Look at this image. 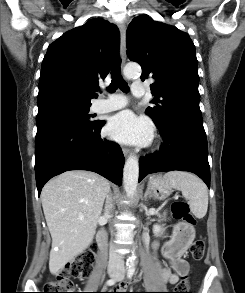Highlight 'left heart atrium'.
Listing matches in <instances>:
<instances>
[{
    "label": "left heart atrium",
    "mask_w": 245,
    "mask_h": 293,
    "mask_svg": "<svg viewBox=\"0 0 245 293\" xmlns=\"http://www.w3.org/2000/svg\"><path fill=\"white\" fill-rule=\"evenodd\" d=\"M152 124L131 111H122L112 116L106 126V133L115 141L126 144H146L152 137Z\"/></svg>",
    "instance_id": "obj_1"
}]
</instances>
